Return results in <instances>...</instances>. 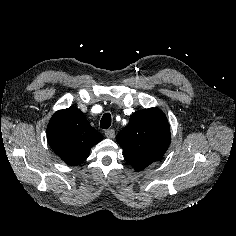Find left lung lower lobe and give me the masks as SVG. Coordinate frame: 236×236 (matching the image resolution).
Masks as SVG:
<instances>
[{
    "label": "left lung lower lobe",
    "instance_id": "obj_1",
    "mask_svg": "<svg viewBox=\"0 0 236 236\" xmlns=\"http://www.w3.org/2000/svg\"><path fill=\"white\" fill-rule=\"evenodd\" d=\"M144 168H140V167H137L136 170L137 171H140V170H143Z\"/></svg>",
    "mask_w": 236,
    "mask_h": 236
}]
</instances>
